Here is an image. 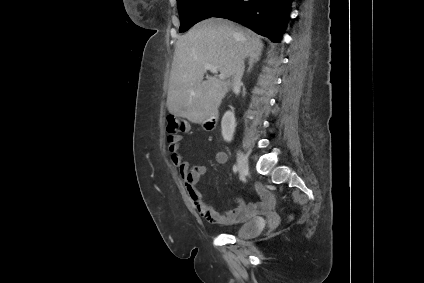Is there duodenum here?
Returning a JSON list of instances; mask_svg holds the SVG:
<instances>
[{
	"mask_svg": "<svg viewBox=\"0 0 424 283\" xmlns=\"http://www.w3.org/2000/svg\"><path fill=\"white\" fill-rule=\"evenodd\" d=\"M216 118V114H212V116L205 123L206 129H212L214 127Z\"/></svg>",
	"mask_w": 424,
	"mask_h": 283,
	"instance_id": "410a0bca",
	"label": "duodenum"
}]
</instances>
